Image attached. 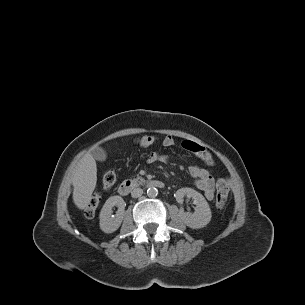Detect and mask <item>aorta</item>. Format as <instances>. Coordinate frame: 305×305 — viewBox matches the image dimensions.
<instances>
[{
    "instance_id": "aorta-1",
    "label": "aorta",
    "mask_w": 305,
    "mask_h": 305,
    "mask_svg": "<svg viewBox=\"0 0 305 305\" xmlns=\"http://www.w3.org/2000/svg\"><path fill=\"white\" fill-rule=\"evenodd\" d=\"M147 195H148V197H151V198L156 197L158 195V189L155 188L154 186H150L147 189Z\"/></svg>"
}]
</instances>
